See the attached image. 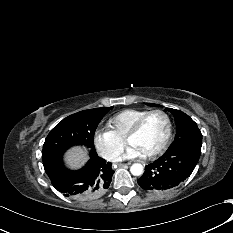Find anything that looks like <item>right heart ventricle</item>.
<instances>
[{"label": "right heart ventricle", "mask_w": 233, "mask_h": 233, "mask_svg": "<svg viewBox=\"0 0 233 233\" xmlns=\"http://www.w3.org/2000/svg\"><path fill=\"white\" fill-rule=\"evenodd\" d=\"M146 112H148L146 109L123 110L108 120V127L117 137L124 140L130 128Z\"/></svg>", "instance_id": "obj_1"}]
</instances>
